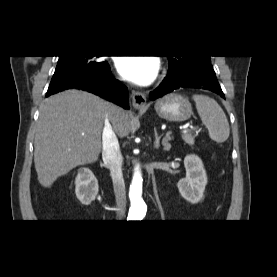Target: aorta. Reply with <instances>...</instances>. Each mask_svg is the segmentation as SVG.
Instances as JSON below:
<instances>
[{"instance_id":"762f6f07","label":"aorta","mask_w":277,"mask_h":277,"mask_svg":"<svg viewBox=\"0 0 277 277\" xmlns=\"http://www.w3.org/2000/svg\"><path fill=\"white\" fill-rule=\"evenodd\" d=\"M142 174L139 166H136L134 169L132 183L129 189V198H130V209H129V219L132 220H141L144 218L147 206L142 199Z\"/></svg>"}]
</instances>
